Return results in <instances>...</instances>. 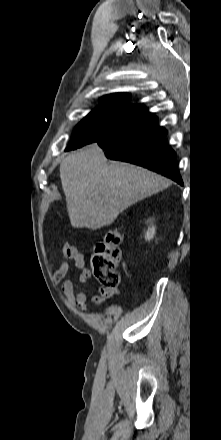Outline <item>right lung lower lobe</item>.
<instances>
[{
    "label": "right lung lower lobe",
    "mask_w": 221,
    "mask_h": 440,
    "mask_svg": "<svg viewBox=\"0 0 221 440\" xmlns=\"http://www.w3.org/2000/svg\"><path fill=\"white\" fill-rule=\"evenodd\" d=\"M166 134L157 126V117L144 108L96 143L109 159L142 166L183 185L175 152L164 142Z\"/></svg>",
    "instance_id": "right-lung-lower-lobe-1"
}]
</instances>
